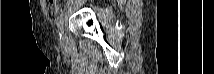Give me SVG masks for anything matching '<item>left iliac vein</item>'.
Instances as JSON below:
<instances>
[{"mask_svg":"<svg viewBox=\"0 0 214 74\" xmlns=\"http://www.w3.org/2000/svg\"><path fill=\"white\" fill-rule=\"evenodd\" d=\"M58 38L60 44H64L65 42V34H64V26L63 23H61L58 27Z\"/></svg>","mask_w":214,"mask_h":74,"instance_id":"obj_1","label":"left iliac vein"}]
</instances>
